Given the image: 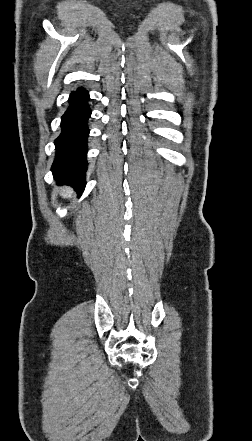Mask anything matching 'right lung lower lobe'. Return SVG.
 Returning <instances> with one entry per match:
<instances>
[{"instance_id": "98d812e1", "label": "right lung lower lobe", "mask_w": 252, "mask_h": 441, "mask_svg": "<svg viewBox=\"0 0 252 441\" xmlns=\"http://www.w3.org/2000/svg\"><path fill=\"white\" fill-rule=\"evenodd\" d=\"M88 100L89 94L84 88L71 93L61 120L62 132L55 140L56 158L51 168L59 183L71 185L79 194L85 187L87 169V121L91 115Z\"/></svg>"}]
</instances>
